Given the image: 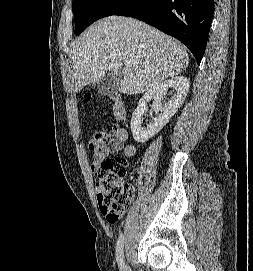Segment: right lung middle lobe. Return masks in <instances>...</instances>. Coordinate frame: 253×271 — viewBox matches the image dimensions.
Instances as JSON below:
<instances>
[{
    "label": "right lung middle lobe",
    "mask_w": 253,
    "mask_h": 271,
    "mask_svg": "<svg viewBox=\"0 0 253 271\" xmlns=\"http://www.w3.org/2000/svg\"><path fill=\"white\" fill-rule=\"evenodd\" d=\"M127 0H73L76 35L94 21L113 15Z\"/></svg>",
    "instance_id": "obj_1"
}]
</instances>
